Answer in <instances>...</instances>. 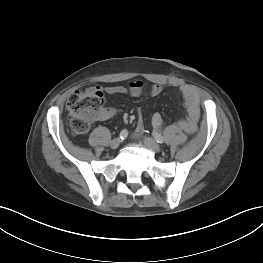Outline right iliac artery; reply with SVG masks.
I'll list each match as a JSON object with an SVG mask.
<instances>
[{"label":"right iliac artery","mask_w":263,"mask_h":263,"mask_svg":"<svg viewBox=\"0 0 263 263\" xmlns=\"http://www.w3.org/2000/svg\"><path fill=\"white\" fill-rule=\"evenodd\" d=\"M127 136H128V131H127L126 129L122 130V131L120 132V134H119V137H120L121 140L126 139Z\"/></svg>","instance_id":"82829eb1"}]
</instances>
